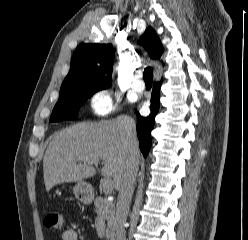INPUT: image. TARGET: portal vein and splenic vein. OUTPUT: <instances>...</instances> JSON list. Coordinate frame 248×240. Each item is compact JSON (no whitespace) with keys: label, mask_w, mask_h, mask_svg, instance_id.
Returning a JSON list of instances; mask_svg holds the SVG:
<instances>
[{"label":"portal vein and splenic vein","mask_w":248,"mask_h":240,"mask_svg":"<svg viewBox=\"0 0 248 240\" xmlns=\"http://www.w3.org/2000/svg\"><path fill=\"white\" fill-rule=\"evenodd\" d=\"M85 161L87 163H91V164H95V165H98V163H99L98 160H92V159H86ZM112 185H113V182L111 179H109V178L103 179L102 186H103V191L106 194H109L112 191Z\"/></svg>","instance_id":"portal-vein-and-splenic-vein-1"}]
</instances>
